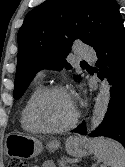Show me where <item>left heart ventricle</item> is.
Wrapping results in <instances>:
<instances>
[{
	"label": "left heart ventricle",
	"instance_id": "left-heart-ventricle-1",
	"mask_svg": "<svg viewBox=\"0 0 125 167\" xmlns=\"http://www.w3.org/2000/svg\"><path fill=\"white\" fill-rule=\"evenodd\" d=\"M75 104L68 93L56 92L46 97L37 111L38 121L45 127L58 128L74 116Z\"/></svg>",
	"mask_w": 125,
	"mask_h": 167
}]
</instances>
